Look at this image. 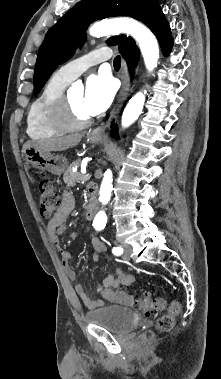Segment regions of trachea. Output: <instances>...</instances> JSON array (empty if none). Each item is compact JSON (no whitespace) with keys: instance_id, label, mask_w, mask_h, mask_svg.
Masks as SVG:
<instances>
[{"instance_id":"trachea-1","label":"trachea","mask_w":221,"mask_h":379,"mask_svg":"<svg viewBox=\"0 0 221 379\" xmlns=\"http://www.w3.org/2000/svg\"><path fill=\"white\" fill-rule=\"evenodd\" d=\"M114 68L119 69L121 65V58L120 56H116L113 62Z\"/></svg>"}]
</instances>
